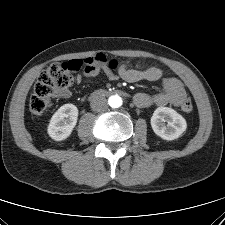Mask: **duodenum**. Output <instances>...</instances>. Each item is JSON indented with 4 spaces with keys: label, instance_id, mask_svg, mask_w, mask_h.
I'll list each match as a JSON object with an SVG mask.
<instances>
[{
    "label": "duodenum",
    "instance_id": "1",
    "mask_svg": "<svg viewBox=\"0 0 225 225\" xmlns=\"http://www.w3.org/2000/svg\"><path fill=\"white\" fill-rule=\"evenodd\" d=\"M114 93H119V94H125L124 91L122 90H113V91H110V90H97L94 94H93V97L94 98H99V97H103V96H106V95H111V94H114Z\"/></svg>",
    "mask_w": 225,
    "mask_h": 225
}]
</instances>
